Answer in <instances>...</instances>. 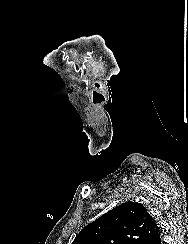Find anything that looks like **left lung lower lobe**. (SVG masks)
<instances>
[{"label":"left lung lower lobe","mask_w":188,"mask_h":244,"mask_svg":"<svg viewBox=\"0 0 188 244\" xmlns=\"http://www.w3.org/2000/svg\"><path fill=\"white\" fill-rule=\"evenodd\" d=\"M149 244H162L160 227Z\"/></svg>","instance_id":"1"}]
</instances>
